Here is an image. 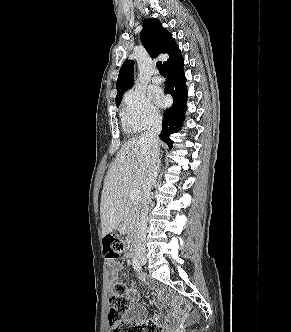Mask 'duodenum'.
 <instances>
[{
	"label": "duodenum",
	"mask_w": 291,
	"mask_h": 332,
	"mask_svg": "<svg viewBox=\"0 0 291 332\" xmlns=\"http://www.w3.org/2000/svg\"><path fill=\"white\" fill-rule=\"evenodd\" d=\"M132 241H133V246L135 245V242H134V239L132 238ZM130 255L133 256L134 255V249H131L130 251Z\"/></svg>",
	"instance_id": "1"
}]
</instances>
